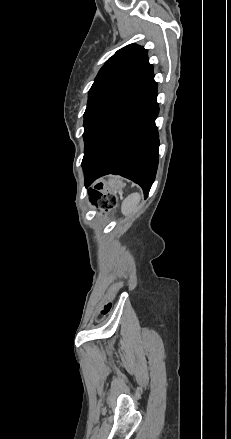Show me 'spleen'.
Here are the masks:
<instances>
[{
    "instance_id": "spleen-1",
    "label": "spleen",
    "mask_w": 231,
    "mask_h": 439,
    "mask_svg": "<svg viewBox=\"0 0 231 439\" xmlns=\"http://www.w3.org/2000/svg\"><path fill=\"white\" fill-rule=\"evenodd\" d=\"M140 198L139 193H133L123 201L121 210L124 216L128 217L137 211Z\"/></svg>"
}]
</instances>
